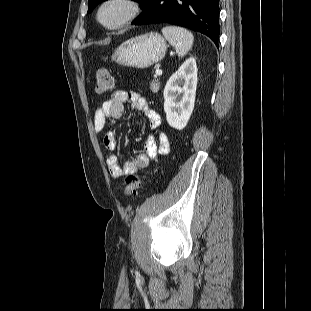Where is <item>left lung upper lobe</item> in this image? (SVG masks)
<instances>
[{"label": "left lung upper lobe", "mask_w": 311, "mask_h": 311, "mask_svg": "<svg viewBox=\"0 0 311 311\" xmlns=\"http://www.w3.org/2000/svg\"><path fill=\"white\" fill-rule=\"evenodd\" d=\"M102 1H105V0H88V13L91 12L93 8ZM134 1L139 2L142 6L146 2V0H134Z\"/></svg>", "instance_id": "left-lung-upper-lobe-1"}]
</instances>
